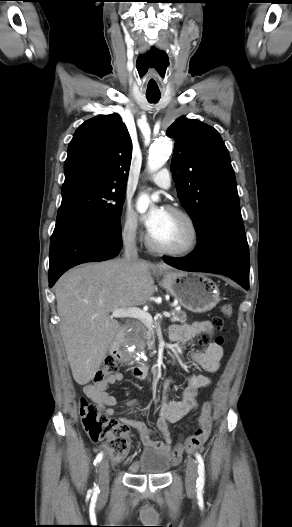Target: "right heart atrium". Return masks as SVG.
I'll list each match as a JSON object with an SVG mask.
<instances>
[{
	"label": "right heart atrium",
	"instance_id": "obj_1",
	"mask_svg": "<svg viewBox=\"0 0 292 527\" xmlns=\"http://www.w3.org/2000/svg\"><path fill=\"white\" fill-rule=\"evenodd\" d=\"M121 234L123 239L128 242L135 241L139 234L137 215L129 207H127L123 213Z\"/></svg>",
	"mask_w": 292,
	"mask_h": 527
}]
</instances>
